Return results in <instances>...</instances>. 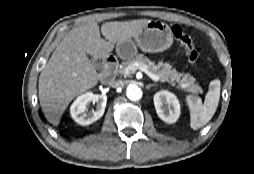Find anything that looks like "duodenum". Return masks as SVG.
Returning <instances> with one entry per match:
<instances>
[{"instance_id":"410a0bca","label":"duodenum","mask_w":254,"mask_h":174,"mask_svg":"<svg viewBox=\"0 0 254 174\" xmlns=\"http://www.w3.org/2000/svg\"><path fill=\"white\" fill-rule=\"evenodd\" d=\"M118 70V61L115 57L109 56L104 61V68L100 75V82L103 84H111L116 79Z\"/></svg>"}]
</instances>
